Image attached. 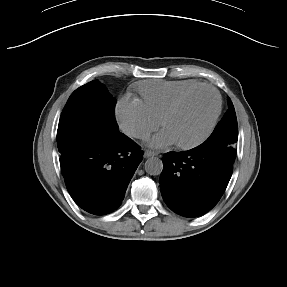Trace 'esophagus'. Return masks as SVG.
Returning <instances> with one entry per match:
<instances>
[{
  "label": "esophagus",
  "instance_id": "esophagus-1",
  "mask_svg": "<svg viewBox=\"0 0 287 287\" xmlns=\"http://www.w3.org/2000/svg\"><path fill=\"white\" fill-rule=\"evenodd\" d=\"M155 155H157V153L152 152V151H149V150H146V151L144 152V157H146V158H148V157H153V156H155Z\"/></svg>",
  "mask_w": 287,
  "mask_h": 287
}]
</instances>
